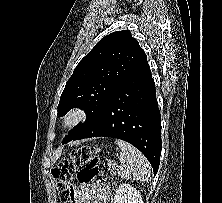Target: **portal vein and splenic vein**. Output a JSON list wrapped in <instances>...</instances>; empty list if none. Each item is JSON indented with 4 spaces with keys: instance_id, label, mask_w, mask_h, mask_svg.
Segmentation results:
<instances>
[{
    "instance_id": "1",
    "label": "portal vein and splenic vein",
    "mask_w": 222,
    "mask_h": 203,
    "mask_svg": "<svg viewBox=\"0 0 222 203\" xmlns=\"http://www.w3.org/2000/svg\"><path fill=\"white\" fill-rule=\"evenodd\" d=\"M112 164H111V162L109 163V166H111Z\"/></svg>"
}]
</instances>
